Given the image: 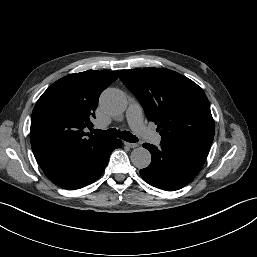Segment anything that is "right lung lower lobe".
I'll use <instances>...</instances> for the list:
<instances>
[{"label":"right lung lower lobe","mask_w":257,"mask_h":257,"mask_svg":"<svg viewBox=\"0 0 257 257\" xmlns=\"http://www.w3.org/2000/svg\"><path fill=\"white\" fill-rule=\"evenodd\" d=\"M119 139H108L83 155L69 159L59 166L44 170L45 175L56 185L74 190L93 183L104 172L110 153L121 147Z\"/></svg>","instance_id":"98d812e1"}]
</instances>
